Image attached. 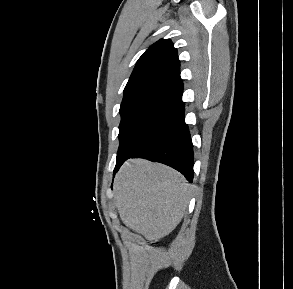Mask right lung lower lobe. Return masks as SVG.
I'll return each mask as SVG.
<instances>
[{"label": "right lung lower lobe", "instance_id": "obj_1", "mask_svg": "<svg viewBox=\"0 0 293 289\" xmlns=\"http://www.w3.org/2000/svg\"><path fill=\"white\" fill-rule=\"evenodd\" d=\"M130 157H144L169 165L192 182L193 146L184 120V106L157 122L128 148L118 152L114 174Z\"/></svg>", "mask_w": 293, "mask_h": 289}]
</instances>
